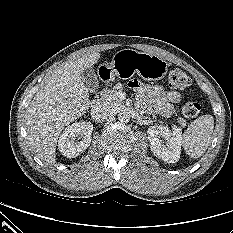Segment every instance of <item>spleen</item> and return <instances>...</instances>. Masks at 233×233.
Wrapping results in <instances>:
<instances>
[{
  "instance_id": "1",
  "label": "spleen",
  "mask_w": 233,
  "mask_h": 233,
  "mask_svg": "<svg viewBox=\"0 0 233 233\" xmlns=\"http://www.w3.org/2000/svg\"><path fill=\"white\" fill-rule=\"evenodd\" d=\"M214 118L205 114L194 120L182 136V146L191 158L201 157L212 139Z\"/></svg>"
}]
</instances>
